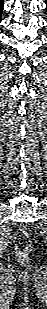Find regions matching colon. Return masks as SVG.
<instances>
[{
	"mask_svg": "<svg viewBox=\"0 0 47 309\" xmlns=\"http://www.w3.org/2000/svg\"><path fill=\"white\" fill-rule=\"evenodd\" d=\"M15 250L20 260H26L31 248V239L25 229L19 228L14 235Z\"/></svg>",
	"mask_w": 47,
	"mask_h": 309,
	"instance_id": "5ec220e1",
	"label": "colon"
}]
</instances>
